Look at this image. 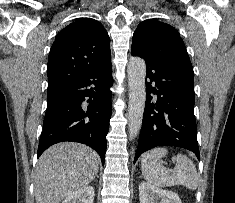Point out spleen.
Segmentation results:
<instances>
[{
  "label": "spleen",
  "mask_w": 235,
  "mask_h": 203,
  "mask_svg": "<svg viewBox=\"0 0 235 203\" xmlns=\"http://www.w3.org/2000/svg\"><path fill=\"white\" fill-rule=\"evenodd\" d=\"M167 153L168 151L165 148H154L143 154L141 169L144 178L158 187L183 185L190 190H196L199 177L193 161L183 154L173 156L172 161L176 164L173 173H170L158 162Z\"/></svg>",
  "instance_id": "obj_1"
}]
</instances>
